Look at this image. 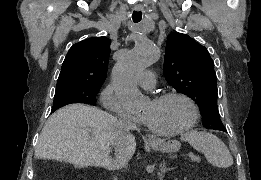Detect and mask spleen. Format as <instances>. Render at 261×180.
Instances as JSON below:
<instances>
[{
  "mask_svg": "<svg viewBox=\"0 0 261 180\" xmlns=\"http://www.w3.org/2000/svg\"><path fill=\"white\" fill-rule=\"evenodd\" d=\"M181 140L189 142L197 152H202L209 164L215 168H230L233 164V158L227 146L213 134L191 130L182 134Z\"/></svg>",
  "mask_w": 261,
  "mask_h": 180,
  "instance_id": "1",
  "label": "spleen"
}]
</instances>
